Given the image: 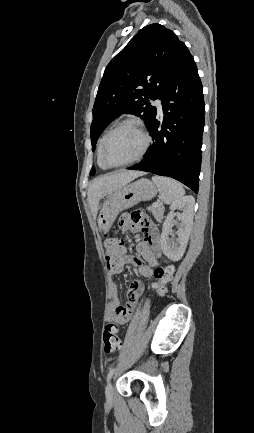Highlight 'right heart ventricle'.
<instances>
[{"instance_id":"obj_1","label":"right heart ventricle","mask_w":254,"mask_h":433,"mask_svg":"<svg viewBox=\"0 0 254 433\" xmlns=\"http://www.w3.org/2000/svg\"><path fill=\"white\" fill-rule=\"evenodd\" d=\"M105 135H106V134H105ZM105 135H103V137L99 140L98 148H97V162H98L99 167H100L101 169H104V170L108 169V167H106V166L101 162V160H100V158H99V150H100V147H101V144H102V141H103Z\"/></svg>"}]
</instances>
